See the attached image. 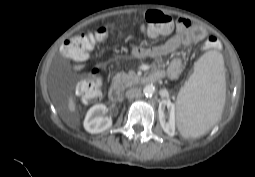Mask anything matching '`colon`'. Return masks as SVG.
I'll return each instance as SVG.
<instances>
[{
  "label": "colon",
  "mask_w": 255,
  "mask_h": 177,
  "mask_svg": "<svg viewBox=\"0 0 255 177\" xmlns=\"http://www.w3.org/2000/svg\"><path fill=\"white\" fill-rule=\"evenodd\" d=\"M172 24L173 19L169 15L159 10H148L144 15L142 30L146 35L156 37L170 31ZM105 34L106 29L104 28L77 34L64 42L61 53L80 65L88 58L95 42L102 41ZM214 38H208L207 44L209 46L215 45L211 42ZM101 84V73L94 68L78 83L77 94L85 103H96L101 97Z\"/></svg>",
  "instance_id": "colon-1"
}]
</instances>
